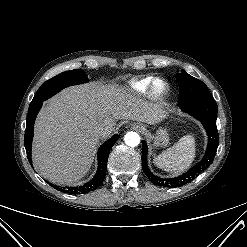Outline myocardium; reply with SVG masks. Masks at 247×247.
<instances>
[{
  "label": "myocardium",
  "mask_w": 247,
  "mask_h": 247,
  "mask_svg": "<svg viewBox=\"0 0 247 247\" xmlns=\"http://www.w3.org/2000/svg\"><path fill=\"white\" fill-rule=\"evenodd\" d=\"M148 91L153 99H164L170 92V85L164 78L156 77L150 82Z\"/></svg>",
  "instance_id": "1"
}]
</instances>
